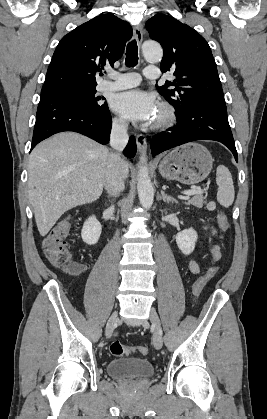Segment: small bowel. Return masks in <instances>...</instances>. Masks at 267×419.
Segmentation results:
<instances>
[{
	"label": "small bowel",
	"instance_id": "1",
	"mask_svg": "<svg viewBox=\"0 0 267 419\" xmlns=\"http://www.w3.org/2000/svg\"><path fill=\"white\" fill-rule=\"evenodd\" d=\"M204 230L210 231L213 234H215V232H216L215 229L213 227H210V226H205ZM210 251H211V254H212L213 261H218L220 259V256H221L219 246L211 245L210 246ZM189 269L194 274H198L200 272V266H199L198 262H196L195 260H190L189 261Z\"/></svg>",
	"mask_w": 267,
	"mask_h": 419
}]
</instances>
